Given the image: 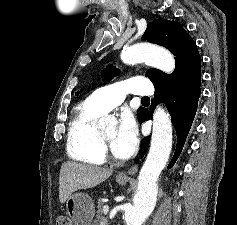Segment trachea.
<instances>
[{
	"mask_svg": "<svg viewBox=\"0 0 237 225\" xmlns=\"http://www.w3.org/2000/svg\"><path fill=\"white\" fill-rule=\"evenodd\" d=\"M142 101H144V102H150V99H149L148 97H143V98H142Z\"/></svg>",
	"mask_w": 237,
	"mask_h": 225,
	"instance_id": "obj_1",
	"label": "trachea"
}]
</instances>
